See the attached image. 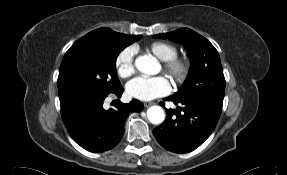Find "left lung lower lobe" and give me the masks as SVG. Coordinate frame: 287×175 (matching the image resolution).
I'll list each match as a JSON object with an SVG mask.
<instances>
[{
	"mask_svg": "<svg viewBox=\"0 0 287 175\" xmlns=\"http://www.w3.org/2000/svg\"><path fill=\"white\" fill-rule=\"evenodd\" d=\"M164 100L182 104L176 110H166V120L153 130L156 140L165 149L187 153L200 146L214 130L221 109L199 99L170 96ZM164 107V103L160 102Z\"/></svg>",
	"mask_w": 287,
	"mask_h": 175,
	"instance_id": "obj_1",
	"label": "left lung lower lobe"
}]
</instances>
